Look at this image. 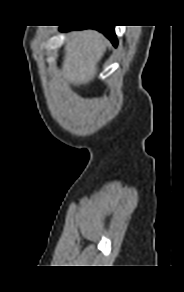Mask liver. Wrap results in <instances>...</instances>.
<instances>
[{
	"label": "liver",
	"instance_id": "liver-1",
	"mask_svg": "<svg viewBox=\"0 0 184 292\" xmlns=\"http://www.w3.org/2000/svg\"><path fill=\"white\" fill-rule=\"evenodd\" d=\"M107 40L97 31L84 30L69 34L65 45L62 73L65 80L74 85L87 84L98 72Z\"/></svg>",
	"mask_w": 184,
	"mask_h": 292
}]
</instances>
